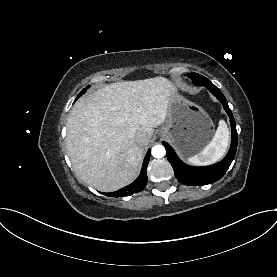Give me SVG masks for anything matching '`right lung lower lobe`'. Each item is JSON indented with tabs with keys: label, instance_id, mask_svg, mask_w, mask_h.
Returning <instances> with one entry per match:
<instances>
[{
	"label": "right lung lower lobe",
	"instance_id": "right-lung-lower-lobe-1",
	"mask_svg": "<svg viewBox=\"0 0 277 277\" xmlns=\"http://www.w3.org/2000/svg\"><path fill=\"white\" fill-rule=\"evenodd\" d=\"M149 159H150V150H148L144 158L142 169L138 178L133 183L118 191L111 192V193H104V194L106 196H112V197H124V196H130L134 193L142 191L147 184L148 177H147L146 169L149 163Z\"/></svg>",
	"mask_w": 277,
	"mask_h": 277
}]
</instances>
